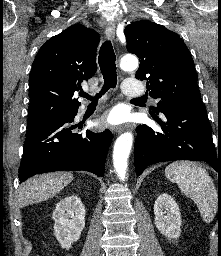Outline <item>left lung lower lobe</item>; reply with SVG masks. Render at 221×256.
Segmentation results:
<instances>
[{
  "label": "left lung lower lobe",
  "mask_w": 221,
  "mask_h": 256,
  "mask_svg": "<svg viewBox=\"0 0 221 256\" xmlns=\"http://www.w3.org/2000/svg\"><path fill=\"white\" fill-rule=\"evenodd\" d=\"M167 123L157 131L147 125L137 127L134 162L136 174L154 163L174 160L204 161L221 174V153L215 149L206 109L167 108L160 111Z\"/></svg>",
  "instance_id": "left-lung-lower-lobe-1"
}]
</instances>
